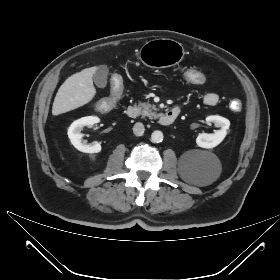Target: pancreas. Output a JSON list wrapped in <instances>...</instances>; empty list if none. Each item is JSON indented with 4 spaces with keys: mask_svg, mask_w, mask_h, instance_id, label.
Masks as SVG:
<instances>
[{
    "mask_svg": "<svg viewBox=\"0 0 280 280\" xmlns=\"http://www.w3.org/2000/svg\"><path fill=\"white\" fill-rule=\"evenodd\" d=\"M138 107L143 117L147 116L149 119H156L159 117V114L156 113L157 108L154 104L152 105L144 102V103H139Z\"/></svg>",
    "mask_w": 280,
    "mask_h": 280,
    "instance_id": "obj_1",
    "label": "pancreas"
}]
</instances>
